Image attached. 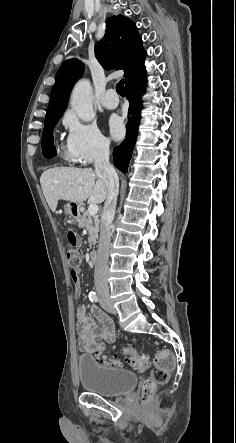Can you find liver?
I'll return each mask as SVG.
<instances>
[{"mask_svg": "<svg viewBox=\"0 0 236 443\" xmlns=\"http://www.w3.org/2000/svg\"><path fill=\"white\" fill-rule=\"evenodd\" d=\"M40 184L52 212L60 199L81 205L87 199L96 204L107 198L105 182L91 168H51L42 173Z\"/></svg>", "mask_w": 236, "mask_h": 443, "instance_id": "6515ba94", "label": "liver"}]
</instances>
